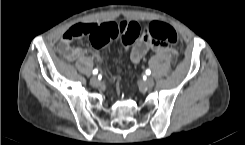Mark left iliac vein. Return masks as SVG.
Masks as SVG:
<instances>
[{"instance_id": "obj_1", "label": "left iliac vein", "mask_w": 245, "mask_h": 145, "mask_svg": "<svg viewBox=\"0 0 245 145\" xmlns=\"http://www.w3.org/2000/svg\"><path fill=\"white\" fill-rule=\"evenodd\" d=\"M144 86L147 88H151L154 86V80L152 78H148L147 80L144 81Z\"/></svg>"}]
</instances>
